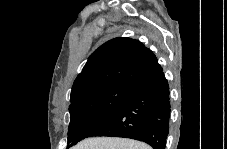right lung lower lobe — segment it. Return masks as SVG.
Returning <instances> with one entry per match:
<instances>
[{"mask_svg":"<svg viewBox=\"0 0 227 149\" xmlns=\"http://www.w3.org/2000/svg\"><path fill=\"white\" fill-rule=\"evenodd\" d=\"M168 81L161 71L138 84L122 106L89 137H124L165 149L169 131Z\"/></svg>","mask_w":227,"mask_h":149,"instance_id":"obj_1","label":"right lung lower lobe"}]
</instances>
